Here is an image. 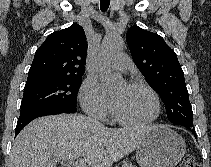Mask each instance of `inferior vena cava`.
<instances>
[{"label":"inferior vena cava","mask_w":211,"mask_h":167,"mask_svg":"<svg viewBox=\"0 0 211 167\" xmlns=\"http://www.w3.org/2000/svg\"><path fill=\"white\" fill-rule=\"evenodd\" d=\"M96 123H97L98 125H101V123H100L99 121H96Z\"/></svg>","instance_id":"602c4592"}]
</instances>
